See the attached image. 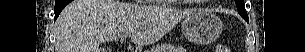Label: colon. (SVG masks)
Masks as SVG:
<instances>
[{
	"mask_svg": "<svg viewBox=\"0 0 305 52\" xmlns=\"http://www.w3.org/2000/svg\"><path fill=\"white\" fill-rule=\"evenodd\" d=\"M216 52H230V49L224 44H217L215 46Z\"/></svg>",
	"mask_w": 305,
	"mask_h": 52,
	"instance_id": "colon-1",
	"label": "colon"
}]
</instances>
